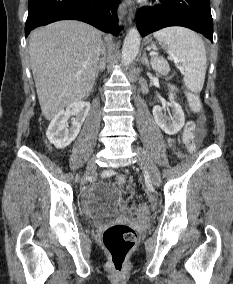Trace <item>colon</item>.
I'll return each instance as SVG.
<instances>
[{"instance_id": "1", "label": "colon", "mask_w": 233, "mask_h": 284, "mask_svg": "<svg viewBox=\"0 0 233 284\" xmlns=\"http://www.w3.org/2000/svg\"><path fill=\"white\" fill-rule=\"evenodd\" d=\"M153 68L160 74H167L169 71L168 63L161 57H155L152 60ZM188 103L191 110L195 113H200L203 109L199 97L189 92L187 94ZM182 139L191 152L195 151L202 142V134L197 130L196 126L186 124ZM104 179L114 178L118 186H124L126 178L122 174H116L113 170L103 172ZM149 208L145 203H141L137 207V216L140 219H145L148 216ZM136 242V231L125 224H113L107 227L102 235V243L109 254L112 267L115 271H122L125 267L128 255L133 249Z\"/></svg>"}]
</instances>
